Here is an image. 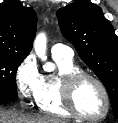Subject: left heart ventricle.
<instances>
[{
	"label": "left heart ventricle",
	"instance_id": "b2bd125f",
	"mask_svg": "<svg viewBox=\"0 0 118 123\" xmlns=\"http://www.w3.org/2000/svg\"><path fill=\"white\" fill-rule=\"evenodd\" d=\"M74 101L81 113L96 117L105 111V99L95 82L84 79L75 88Z\"/></svg>",
	"mask_w": 118,
	"mask_h": 123
}]
</instances>
